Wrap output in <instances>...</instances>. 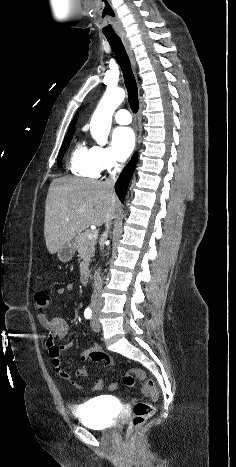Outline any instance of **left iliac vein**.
Instances as JSON below:
<instances>
[{
  "mask_svg": "<svg viewBox=\"0 0 236 467\" xmlns=\"http://www.w3.org/2000/svg\"><path fill=\"white\" fill-rule=\"evenodd\" d=\"M91 328L95 332L100 331V324H99V321H98V315L97 314H94L92 319H91Z\"/></svg>",
  "mask_w": 236,
  "mask_h": 467,
  "instance_id": "4c4485c4",
  "label": "left iliac vein"
}]
</instances>
